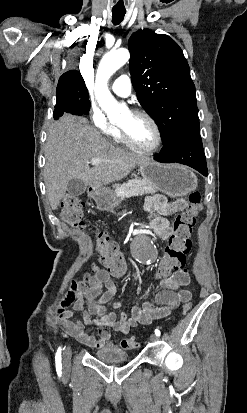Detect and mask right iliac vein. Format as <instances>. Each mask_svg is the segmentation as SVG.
<instances>
[{"instance_id": "63e3f726", "label": "right iliac vein", "mask_w": 247, "mask_h": 413, "mask_svg": "<svg viewBox=\"0 0 247 413\" xmlns=\"http://www.w3.org/2000/svg\"><path fill=\"white\" fill-rule=\"evenodd\" d=\"M71 356H72V351L70 347H67L63 353V367L64 371L69 369L70 364H71Z\"/></svg>"}]
</instances>
